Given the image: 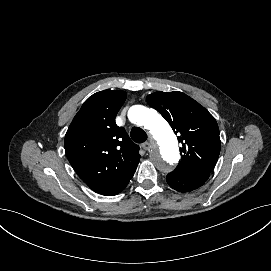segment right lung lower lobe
Segmentation results:
<instances>
[{
	"label": "right lung lower lobe",
	"mask_w": 271,
	"mask_h": 271,
	"mask_svg": "<svg viewBox=\"0 0 271 271\" xmlns=\"http://www.w3.org/2000/svg\"><path fill=\"white\" fill-rule=\"evenodd\" d=\"M128 184V183H127ZM126 184V185H127ZM126 185L122 188V189H120V190H118V191H116V192H114V193H112V194H110V195H108V196H112V195H116V194H118L119 192H121L125 187H126Z\"/></svg>",
	"instance_id": "obj_1"
}]
</instances>
